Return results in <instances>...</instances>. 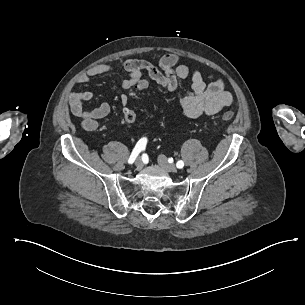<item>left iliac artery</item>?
<instances>
[{
    "instance_id": "left-iliac-artery-1",
    "label": "left iliac artery",
    "mask_w": 305,
    "mask_h": 305,
    "mask_svg": "<svg viewBox=\"0 0 305 305\" xmlns=\"http://www.w3.org/2000/svg\"><path fill=\"white\" fill-rule=\"evenodd\" d=\"M177 168L181 169L184 166V162L182 160L178 161L176 164Z\"/></svg>"
}]
</instances>
